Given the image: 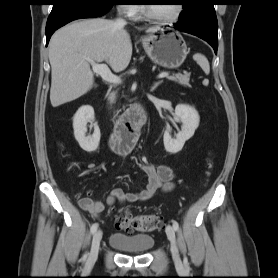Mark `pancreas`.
Here are the masks:
<instances>
[{
	"label": "pancreas",
	"mask_w": 278,
	"mask_h": 278,
	"mask_svg": "<svg viewBox=\"0 0 278 278\" xmlns=\"http://www.w3.org/2000/svg\"><path fill=\"white\" fill-rule=\"evenodd\" d=\"M169 80L178 82L179 84L183 86H189V81H190V74H175L173 76L168 77ZM116 100V92H112L108 96V101L110 103H115Z\"/></svg>",
	"instance_id": "cf45deb5"
}]
</instances>
